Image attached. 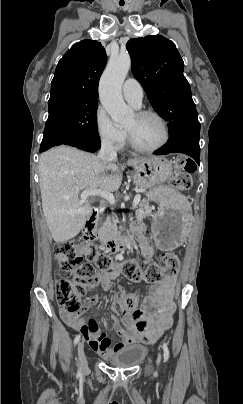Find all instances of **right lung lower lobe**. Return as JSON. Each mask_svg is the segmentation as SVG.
<instances>
[{"instance_id":"98d812e1","label":"right lung lower lobe","mask_w":243,"mask_h":404,"mask_svg":"<svg viewBox=\"0 0 243 404\" xmlns=\"http://www.w3.org/2000/svg\"><path fill=\"white\" fill-rule=\"evenodd\" d=\"M65 145L74 146V147H77L79 149L89 151V152H95L98 149H100V147H101L100 141L83 139V138L69 139L66 141Z\"/></svg>"}]
</instances>
